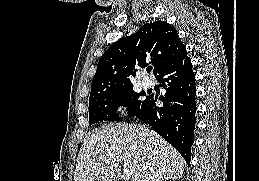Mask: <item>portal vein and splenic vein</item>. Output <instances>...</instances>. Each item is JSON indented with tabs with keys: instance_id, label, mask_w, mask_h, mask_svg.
Instances as JSON below:
<instances>
[{
	"instance_id": "portal-vein-and-splenic-vein-1",
	"label": "portal vein and splenic vein",
	"mask_w": 259,
	"mask_h": 181,
	"mask_svg": "<svg viewBox=\"0 0 259 181\" xmlns=\"http://www.w3.org/2000/svg\"><path fill=\"white\" fill-rule=\"evenodd\" d=\"M123 173H124L126 178H129L132 174V169L125 165L124 169H123Z\"/></svg>"
}]
</instances>
